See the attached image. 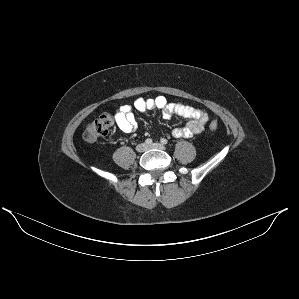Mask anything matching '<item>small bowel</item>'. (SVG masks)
Returning a JSON list of instances; mask_svg holds the SVG:
<instances>
[{
    "instance_id": "1",
    "label": "small bowel",
    "mask_w": 299,
    "mask_h": 299,
    "mask_svg": "<svg viewBox=\"0 0 299 299\" xmlns=\"http://www.w3.org/2000/svg\"><path fill=\"white\" fill-rule=\"evenodd\" d=\"M152 109H160L165 118L177 115L189 119L185 126L173 129L172 134L176 138H189L201 133L210 119L204 110L180 103H170L165 96H157L138 98L132 105H122L115 115L116 124L123 132L130 133L137 126L134 112L143 113Z\"/></svg>"
}]
</instances>
